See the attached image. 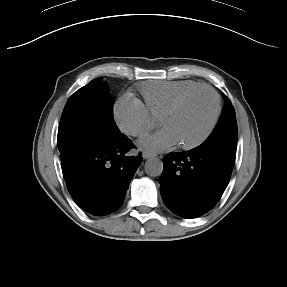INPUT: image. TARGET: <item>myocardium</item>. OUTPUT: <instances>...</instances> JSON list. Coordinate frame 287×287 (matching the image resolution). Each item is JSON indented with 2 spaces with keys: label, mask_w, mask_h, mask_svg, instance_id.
Returning a JSON list of instances; mask_svg holds the SVG:
<instances>
[{
  "label": "myocardium",
  "mask_w": 287,
  "mask_h": 287,
  "mask_svg": "<svg viewBox=\"0 0 287 287\" xmlns=\"http://www.w3.org/2000/svg\"><path fill=\"white\" fill-rule=\"evenodd\" d=\"M199 91H207L212 96L213 102H214V110H213V114H212V117H211V120L209 122L207 129L199 138L195 139L194 141L188 142V143H179V147L182 149H185V150L193 149V148L200 146L212 134V132H213V130L217 124V121H218V118L220 115V111H221V103H220V98H219L218 93L213 88H211L210 86L198 85V86L186 91L184 94H182L165 111V113L160 118V121L162 122L164 119L174 115L180 109V107L185 103L186 100H188L192 95H194L195 93H197Z\"/></svg>",
  "instance_id": "1"
}]
</instances>
